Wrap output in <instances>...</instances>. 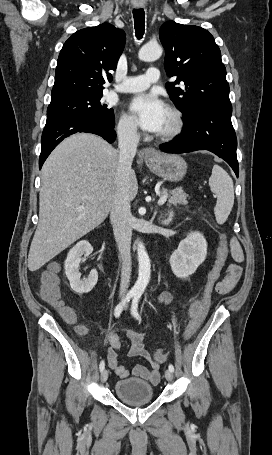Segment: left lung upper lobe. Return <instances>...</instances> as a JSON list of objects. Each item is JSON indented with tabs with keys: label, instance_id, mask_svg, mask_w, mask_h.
Returning a JSON list of instances; mask_svg holds the SVG:
<instances>
[{
	"label": "left lung upper lobe",
	"instance_id": "obj_1",
	"mask_svg": "<svg viewBox=\"0 0 272 455\" xmlns=\"http://www.w3.org/2000/svg\"><path fill=\"white\" fill-rule=\"evenodd\" d=\"M159 36L166 52L165 70L177 76L166 88L184 120L207 106L231 105L221 52L207 30L168 21ZM180 82L182 87H176Z\"/></svg>",
	"mask_w": 272,
	"mask_h": 455
}]
</instances>
